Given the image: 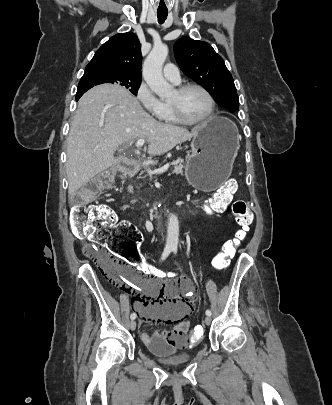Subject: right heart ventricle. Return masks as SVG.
Instances as JSON below:
<instances>
[{"mask_svg":"<svg viewBox=\"0 0 332 405\" xmlns=\"http://www.w3.org/2000/svg\"><path fill=\"white\" fill-rule=\"evenodd\" d=\"M162 121L167 122V123H176L178 122L176 118L174 117L172 110L170 108L169 103L164 102L163 103V111L161 116L159 117Z\"/></svg>","mask_w":332,"mask_h":405,"instance_id":"e07e8e85","label":"right heart ventricle"}]
</instances>
